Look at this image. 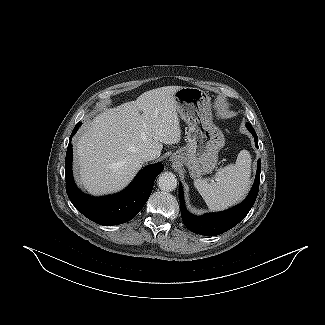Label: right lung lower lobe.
Masks as SVG:
<instances>
[{"instance_id":"right-lung-lower-lobe-1","label":"right lung lower lobe","mask_w":325,"mask_h":325,"mask_svg":"<svg viewBox=\"0 0 325 325\" xmlns=\"http://www.w3.org/2000/svg\"><path fill=\"white\" fill-rule=\"evenodd\" d=\"M82 122H78L72 132H77ZM70 136V141H71ZM164 169L162 163L143 168L134 181L122 192L105 197H91L82 193L75 185L72 175V144L69 142L65 158L66 192L84 216L100 225H117L133 219L147 202L154 181Z\"/></svg>"}]
</instances>
